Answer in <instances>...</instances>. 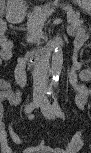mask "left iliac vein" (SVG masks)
<instances>
[{"label": "left iliac vein", "instance_id": "obj_1", "mask_svg": "<svg viewBox=\"0 0 91 153\" xmlns=\"http://www.w3.org/2000/svg\"><path fill=\"white\" fill-rule=\"evenodd\" d=\"M41 110L46 118L50 120L55 118L56 113L54 107L50 104L49 99L46 96L42 99Z\"/></svg>", "mask_w": 91, "mask_h": 153}]
</instances>
